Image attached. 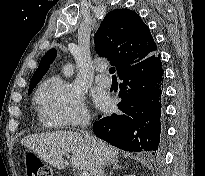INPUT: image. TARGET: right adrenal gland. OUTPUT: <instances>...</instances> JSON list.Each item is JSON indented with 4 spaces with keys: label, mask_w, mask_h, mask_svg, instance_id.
I'll use <instances>...</instances> for the list:
<instances>
[{
    "label": "right adrenal gland",
    "mask_w": 205,
    "mask_h": 176,
    "mask_svg": "<svg viewBox=\"0 0 205 176\" xmlns=\"http://www.w3.org/2000/svg\"><path fill=\"white\" fill-rule=\"evenodd\" d=\"M116 169H123V166L119 165L118 162L112 164V170L109 173V176L113 175V171Z\"/></svg>",
    "instance_id": "obj_1"
}]
</instances>
